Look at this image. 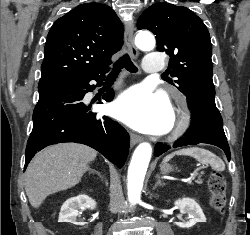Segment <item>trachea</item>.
<instances>
[{"mask_svg":"<svg viewBox=\"0 0 250 235\" xmlns=\"http://www.w3.org/2000/svg\"><path fill=\"white\" fill-rule=\"evenodd\" d=\"M123 67L131 73L138 71L137 67L133 64L129 55L126 53L114 63L112 71L108 74V78L117 77Z\"/></svg>","mask_w":250,"mask_h":235,"instance_id":"obj_1","label":"trachea"}]
</instances>
